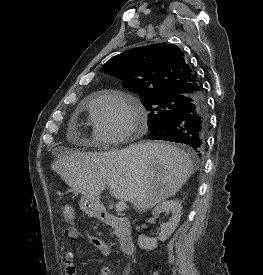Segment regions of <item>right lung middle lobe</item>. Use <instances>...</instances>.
<instances>
[{
    "label": "right lung middle lobe",
    "instance_id": "1",
    "mask_svg": "<svg viewBox=\"0 0 263 275\" xmlns=\"http://www.w3.org/2000/svg\"><path fill=\"white\" fill-rule=\"evenodd\" d=\"M141 101L148 114L149 131L163 121L179 113L190 102L185 96H141Z\"/></svg>",
    "mask_w": 263,
    "mask_h": 275
}]
</instances>
